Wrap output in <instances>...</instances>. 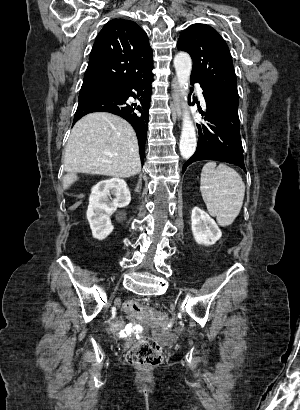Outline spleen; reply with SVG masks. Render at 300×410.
Masks as SVG:
<instances>
[{
  "mask_svg": "<svg viewBox=\"0 0 300 410\" xmlns=\"http://www.w3.org/2000/svg\"><path fill=\"white\" fill-rule=\"evenodd\" d=\"M200 191L209 214L216 217L218 224L231 225L240 213L245 196L241 176L226 164L216 167L215 162H208L201 172Z\"/></svg>",
  "mask_w": 300,
  "mask_h": 410,
  "instance_id": "1",
  "label": "spleen"
}]
</instances>
